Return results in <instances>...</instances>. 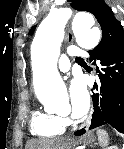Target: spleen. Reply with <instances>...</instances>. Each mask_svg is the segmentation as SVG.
I'll return each instance as SVG.
<instances>
[{"instance_id":"spleen-1","label":"spleen","mask_w":124,"mask_h":149,"mask_svg":"<svg viewBox=\"0 0 124 149\" xmlns=\"http://www.w3.org/2000/svg\"><path fill=\"white\" fill-rule=\"evenodd\" d=\"M97 135H98L99 144L102 147L107 146L108 145V134H107V132L104 130H98Z\"/></svg>"}]
</instances>
